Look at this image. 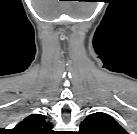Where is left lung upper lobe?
Segmentation results:
<instances>
[{
	"label": "left lung upper lobe",
	"instance_id": "1",
	"mask_svg": "<svg viewBox=\"0 0 137 134\" xmlns=\"http://www.w3.org/2000/svg\"><path fill=\"white\" fill-rule=\"evenodd\" d=\"M79 134H127V132L111 116L96 112L81 122Z\"/></svg>",
	"mask_w": 137,
	"mask_h": 134
}]
</instances>
